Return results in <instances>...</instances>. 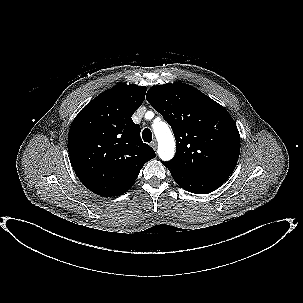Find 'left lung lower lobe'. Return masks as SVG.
I'll return each mask as SVG.
<instances>
[{"instance_id":"left-lung-lower-lobe-1","label":"left lung lower lobe","mask_w":303,"mask_h":303,"mask_svg":"<svg viewBox=\"0 0 303 303\" xmlns=\"http://www.w3.org/2000/svg\"><path fill=\"white\" fill-rule=\"evenodd\" d=\"M173 179L186 191L205 194L219 188L230 176L225 173H211L204 175H188L170 170Z\"/></svg>"}]
</instances>
